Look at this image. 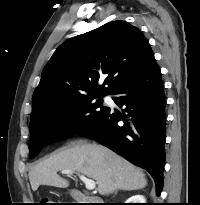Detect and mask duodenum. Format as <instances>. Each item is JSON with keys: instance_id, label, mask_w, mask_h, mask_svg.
Here are the masks:
<instances>
[{"instance_id": "410a0bca", "label": "duodenum", "mask_w": 200, "mask_h": 205, "mask_svg": "<svg viewBox=\"0 0 200 205\" xmlns=\"http://www.w3.org/2000/svg\"><path fill=\"white\" fill-rule=\"evenodd\" d=\"M71 196L75 201L79 203L91 204V203H96L99 201L98 198L86 196L81 191L76 190V189H73L71 191Z\"/></svg>"}]
</instances>
